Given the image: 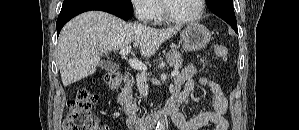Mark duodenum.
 Wrapping results in <instances>:
<instances>
[{"label":"duodenum","instance_id":"obj_1","mask_svg":"<svg viewBox=\"0 0 299 130\" xmlns=\"http://www.w3.org/2000/svg\"><path fill=\"white\" fill-rule=\"evenodd\" d=\"M133 75L129 72L124 75V86L117 96V104L126 115V123L129 130H148L155 127L160 121L171 118L172 120L179 114V105L187 95L182 94L169 100L166 107L158 114L147 117H138L134 114L130 105V93L133 85Z\"/></svg>","mask_w":299,"mask_h":130}]
</instances>
